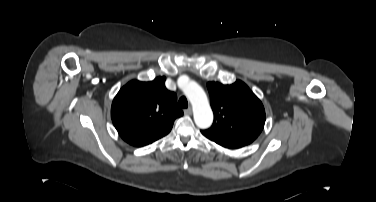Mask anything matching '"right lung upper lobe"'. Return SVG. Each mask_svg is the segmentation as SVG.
<instances>
[{"label": "right lung upper lobe", "mask_w": 376, "mask_h": 202, "mask_svg": "<svg viewBox=\"0 0 376 202\" xmlns=\"http://www.w3.org/2000/svg\"><path fill=\"white\" fill-rule=\"evenodd\" d=\"M165 79L130 81L115 96L112 121L119 135L130 145L142 147L167 135L174 120L183 115L176 94L166 89Z\"/></svg>", "instance_id": "1"}]
</instances>
